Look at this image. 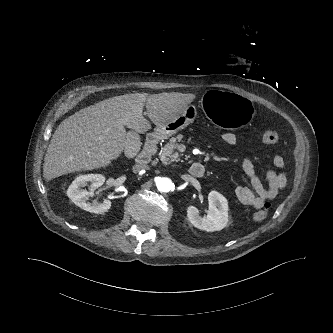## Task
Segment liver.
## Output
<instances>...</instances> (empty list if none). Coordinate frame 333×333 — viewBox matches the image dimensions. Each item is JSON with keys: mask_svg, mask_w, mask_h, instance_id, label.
Segmentation results:
<instances>
[{"mask_svg": "<svg viewBox=\"0 0 333 333\" xmlns=\"http://www.w3.org/2000/svg\"><path fill=\"white\" fill-rule=\"evenodd\" d=\"M195 98L178 92L133 93L105 99L63 120L48 146L43 177L52 180L76 171L108 166L127 144L124 126L145 133L151 124L162 125L178 116Z\"/></svg>", "mask_w": 333, "mask_h": 333, "instance_id": "liver-1", "label": "liver"}]
</instances>
